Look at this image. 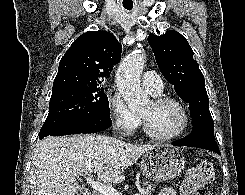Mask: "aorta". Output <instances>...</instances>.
Wrapping results in <instances>:
<instances>
[{
    "label": "aorta",
    "mask_w": 245,
    "mask_h": 195,
    "mask_svg": "<svg viewBox=\"0 0 245 195\" xmlns=\"http://www.w3.org/2000/svg\"><path fill=\"white\" fill-rule=\"evenodd\" d=\"M145 59L144 51L137 49L122 60L116 72L118 90L131 111L140 110L150 101L140 85Z\"/></svg>",
    "instance_id": "1"
}]
</instances>
